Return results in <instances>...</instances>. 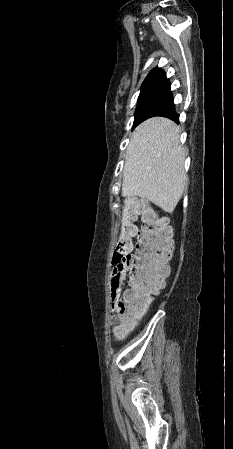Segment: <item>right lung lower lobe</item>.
<instances>
[{"label": "right lung lower lobe", "mask_w": 233, "mask_h": 449, "mask_svg": "<svg viewBox=\"0 0 233 449\" xmlns=\"http://www.w3.org/2000/svg\"><path fill=\"white\" fill-rule=\"evenodd\" d=\"M155 116L167 117L175 122H178V120H179V115L175 111V106H172V107L156 114Z\"/></svg>", "instance_id": "1"}]
</instances>
